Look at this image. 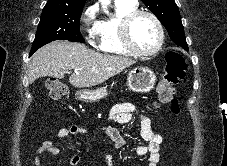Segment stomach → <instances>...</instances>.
I'll return each mask as SVG.
<instances>
[{"instance_id":"obj_1","label":"stomach","mask_w":227,"mask_h":166,"mask_svg":"<svg viewBox=\"0 0 227 166\" xmlns=\"http://www.w3.org/2000/svg\"><path fill=\"white\" fill-rule=\"evenodd\" d=\"M156 76L152 70L147 67H137L129 72L127 86L134 92L146 93L154 88ZM107 95L106 87L96 90H79L75 96L83 102H95Z\"/></svg>"}]
</instances>
